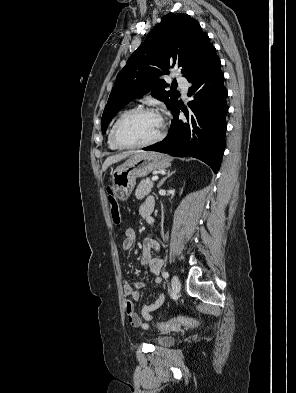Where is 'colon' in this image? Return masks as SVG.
Segmentation results:
<instances>
[{
  "instance_id": "5ec220e1",
  "label": "colon",
  "mask_w": 296,
  "mask_h": 393,
  "mask_svg": "<svg viewBox=\"0 0 296 393\" xmlns=\"http://www.w3.org/2000/svg\"><path fill=\"white\" fill-rule=\"evenodd\" d=\"M108 201L110 204L111 218L114 224L118 225L121 222V213L118 202L110 188H108ZM200 322L191 318H174L167 322L157 323V327L161 331L174 330L179 327H195L199 326Z\"/></svg>"
}]
</instances>
